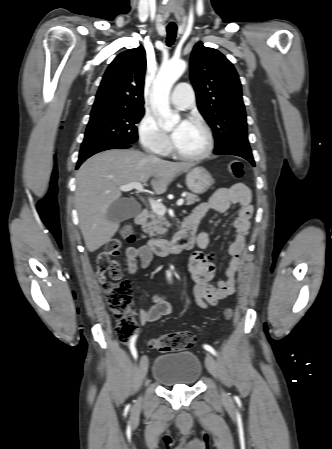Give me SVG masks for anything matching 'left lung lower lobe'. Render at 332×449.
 Masks as SVG:
<instances>
[{
  "label": "left lung lower lobe",
  "mask_w": 332,
  "mask_h": 449,
  "mask_svg": "<svg viewBox=\"0 0 332 449\" xmlns=\"http://www.w3.org/2000/svg\"><path fill=\"white\" fill-rule=\"evenodd\" d=\"M217 155H235L248 160L253 166H255V161L252 156L251 149H246L242 147H232L221 151H214Z\"/></svg>",
  "instance_id": "obj_1"
}]
</instances>
